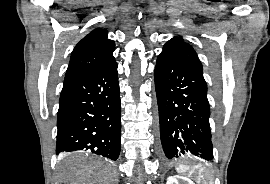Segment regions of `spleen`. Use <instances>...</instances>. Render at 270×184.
Listing matches in <instances>:
<instances>
[{
    "instance_id": "1",
    "label": "spleen",
    "mask_w": 270,
    "mask_h": 184,
    "mask_svg": "<svg viewBox=\"0 0 270 184\" xmlns=\"http://www.w3.org/2000/svg\"><path fill=\"white\" fill-rule=\"evenodd\" d=\"M187 171L188 174H186ZM178 172L186 175L187 177H195L198 184H212L210 173L202 165L194 166L191 169L184 166Z\"/></svg>"
}]
</instances>
